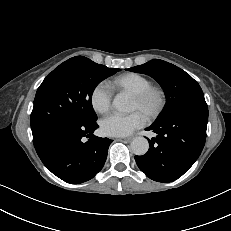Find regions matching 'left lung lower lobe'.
<instances>
[{"label":"left lung lower lobe","mask_w":231,"mask_h":231,"mask_svg":"<svg viewBox=\"0 0 231 231\" xmlns=\"http://www.w3.org/2000/svg\"><path fill=\"white\" fill-rule=\"evenodd\" d=\"M207 104H193L154 122L146 130L157 133L149 141L150 148L143 156H135L139 169L150 179L172 182L195 163L206 140Z\"/></svg>","instance_id":"0a47b994"}]
</instances>
